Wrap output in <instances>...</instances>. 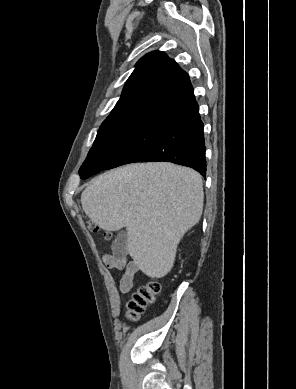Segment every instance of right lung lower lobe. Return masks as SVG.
Here are the masks:
<instances>
[{"mask_svg":"<svg viewBox=\"0 0 296 389\" xmlns=\"http://www.w3.org/2000/svg\"><path fill=\"white\" fill-rule=\"evenodd\" d=\"M203 128L199 109L178 118L140 162H172L191 167L205 176L207 164ZM96 173L97 170L90 168L81 167L79 170L81 178H88Z\"/></svg>","mask_w":296,"mask_h":389,"instance_id":"right-lung-lower-lobe-1","label":"right lung lower lobe"}]
</instances>
